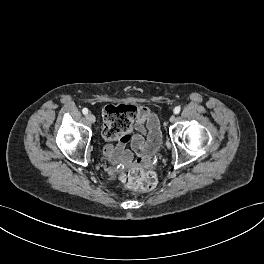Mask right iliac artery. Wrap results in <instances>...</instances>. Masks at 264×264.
Masks as SVG:
<instances>
[{"mask_svg":"<svg viewBox=\"0 0 264 264\" xmlns=\"http://www.w3.org/2000/svg\"><path fill=\"white\" fill-rule=\"evenodd\" d=\"M82 112H83L84 115H86V114H88V109H87V108H84V109L82 110Z\"/></svg>","mask_w":264,"mask_h":264,"instance_id":"obj_1","label":"right iliac artery"}]
</instances>
